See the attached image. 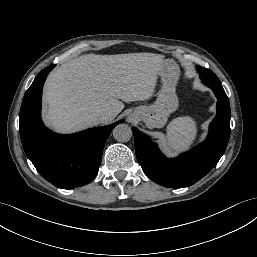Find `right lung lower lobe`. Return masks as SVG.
Masks as SVG:
<instances>
[{
	"label": "right lung lower lobe",
	"instance_id": "1",
	"mask_svg": "<svg viewBox=\"0 0 257 257\" xmlns=\"http://www.w3.org/2000/svg\"><path fill=\"white\" fill-rule=\"evenodd\" d=\"M54 67L43 69L25 93L20 111V137L37 171L54 186L70 189L95 178L105 141L114 127L124 121L71 135L48 131L40 117L41 97L46 77Z\"/></svg>",
	"mask_w": 257,
	"mask_h": 257
}]
</instances>
